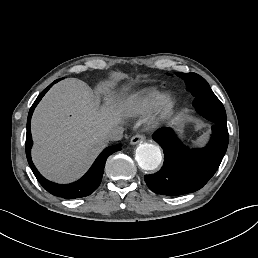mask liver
I'll return each mask as SVG.
<instances>
[{"label": "liver", "instance_id": "1", "mask_svg": "<svg viewBox=\"0 0 258 258\" xmlns=\"http://www.w3.org/2000/svg\"><path fill=\"white\" fill-rule=\"evenodd\" d=\"M101 105L82 80L67 78L55 84L38 103L31 118V159L38 172L56 184H71L89 170L108 146L110 129L126 125L147 101L140 94L100 85ZM184 116L166 123L176 131Z\"/></svg>", "mask_w": 258, "mask_h": 258}]
</instances>
